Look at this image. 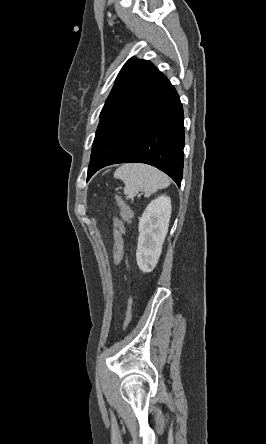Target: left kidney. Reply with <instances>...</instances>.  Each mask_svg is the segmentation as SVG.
<instances>
[{
	"label": "left kidney",
	"instance_id": "obj_1",
	"mask_svg": "<svg viewBox=\"0 0 266 444\" xmlns=\"http://www.w3.org/2000/svg\"><path fill=\"white\" fill-rule=\"evenodd\" d=\"M171 210L170 197L161 195L151 201L139 220L136 260L139 269L145 273L151 272L158 263Z\"/></svg>",
	"mask_w": 266,
	"mask_h": 444
}]
</instances>
